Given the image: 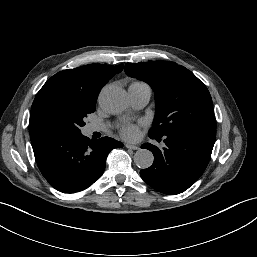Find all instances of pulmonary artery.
<instances>
[{"instance_id": "e3ab8cb5", "label": "pulmonary artery", "mask_w": 257, "mask_h": 257, "mask_svg": "<svg viewBox=\"0 0 257 257\" xmlns=\"http://www.w3.org/2000/svg\"><path fill=\"white\" fill-rule=\"evenodd\" d=\"M130 103L133 108H143L150 100L151 89L146 84L130 85L128 88ZM103 127L91 124L88 126V132L102 130Z\"/></svg>"}]
</instances>
